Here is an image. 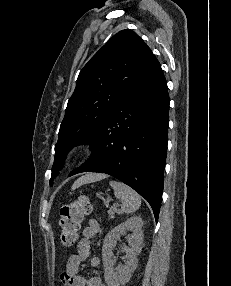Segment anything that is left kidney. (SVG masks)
<instances>
[{"label": "left kidney", "mask_w": 231, "mask_h": 286, "mask_svg": "<svg viewBox=\"0 0 231 286\" xmlns=\"http://www.w3.org/2000/svg\"><path fill=\"white\" fill-rule=\"evenodd\" d=\"M143 222L140 216H133L125 222L112 229L104 238L102 248V259L104 266V278L107 286H123L131 278L132 273L137 268L138 255L143 244ZM126 231H131L129 246L124 245L122 251L125 255V265L114 267L113 249L117 240Z\"/></svg>", "instance_id": "obj_1"}]
</instances>
